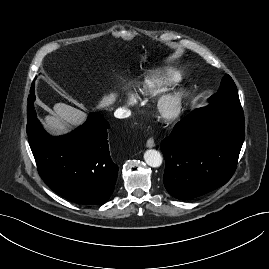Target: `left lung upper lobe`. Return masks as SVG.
Masks as SVG:
<instances>
[{
  "label": "left lung upper lobe",
  "mask_w": 269,
  "mask_h": 269,
  "mask_svg": "<svg viewBox=\"0 0 269 269\" xmlns=\"http://www.w3.org/2000/svg\"><path fill=\"white\" fill-rule=\"evenodd\" d=\"M210 103L232 102L240 103L238 91L232 78L226 74L216 94L209 98Z\"/></svg>",
  "instance_id": "5c2ea615"
}]
</instances>
